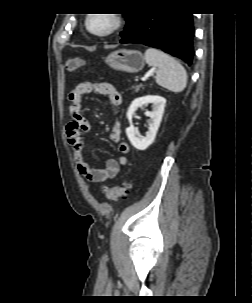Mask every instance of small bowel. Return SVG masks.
<instances>
[{
	"instance_id": "c3829d8e",
	"label": "small bowel",
	"mask_w": 252,
	"mask_h": 303,
	"mask_svg": "<svg viewBox=\"0 0 252 303\" xmlns=\"http://www.w3.org/2000/svg\"><path fill=\"white\" fill-rule=\"evenodd\" d=\"M89 93L106 96L115 107H119L122 104V97L112 84L91 81L78 84L69 94V112L72 123L68 128L67 136L70 145L73 147V157L77 171L89 181L101 183L114 178L119 173L121 167L127 164L126 155L129 152V145L126 141L122 140V124L119 118H116L109 133V139L117 144L119 155L107 160L104 168H95L88 163L84 157L85 142L83 134L90 131L91 124L82 114V103L83 97Z\"/></svg>"
}]
</instances>
